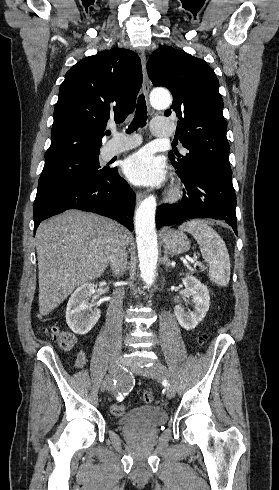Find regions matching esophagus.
Returning a JSON list of instances; mask_svg holds the SVG:
<instances>
[{
	"label": "esophagus",
	"instance_id": "obj_1",
	"mask_svg": "<svg viewBox=\"0 0 279 490\" xmlns=\"http://www.w3.org/2000/svg\"><path fill=\"white\" fill-rule=\"evenodd\" d=\"M140 58H141V63H142V74H143L142 88H143V93H144L145 97L147 98L148 94H149V90H150V84H149V77H148L147 70H146V56H145V53L143 51L140 52ZM144 198H145V195L143 193L138 192L136 194V204L139 205Z\"/></svg>",
	"mask_w": 279,
	"mask_h": 490
}]
</instances>
